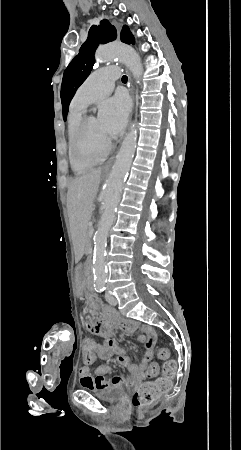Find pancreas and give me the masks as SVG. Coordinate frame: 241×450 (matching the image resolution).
<instances>
[{
	"label": "pancreas",
	"instance_id": "cf45deb5",
	"mask_svg": "<svg viewBox=\"0 0 241 450\" xmlns=\"http://www.w3.org/2000/svg\"><path fill=\"white\" fill-rule=\"evenodd\" d=\"M90 228H93V227H88L87 237H86V239H85L86 242H88V243L91 242V240H92V239H91L92 236H90V233H89V232H90V230H89ZM89 248H90V247H89Z\"/></svg>",
	"mask_w": 241,
	"mask_h": 450
}]
</instances>
